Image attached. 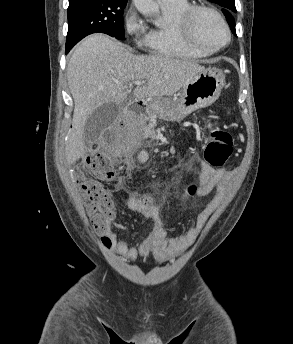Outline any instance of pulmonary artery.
<instances>
[{
    "label": "pulmonary artery",
    "instance_id": "obj_1",
    "mask_svg": "<svg viewBox=\"0 0 293 344\" xmlns=\"http://www.w3.org/2000/svg\"><path fill=\"white\" fill-rule=\"evenodd\" d=\"M162 4H169V3H172L176 0H160Z\"/></svg>",
    "mask_w": 293,
    "mask_h": 344
}]
</instances>
